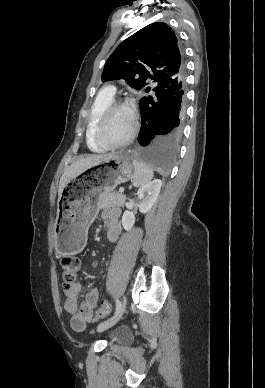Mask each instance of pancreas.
<instances>
[{
	"instance_id": "cf45deb5",
	"label": "pancreas",
	"mask_w": 265,
	"mask_h": 388,
	"mask_svg": "<svg viewBox=\"0 0 265 388\" xmlns=\"http://www.w3.org/2000/svg\"><path fill=\"white\" fill-rule=\"evenodd\" d=\"M125 196L124 194H116V192H103L99 194L98 208H107V206H124Z\"/></svg>"
}]
</instances>
